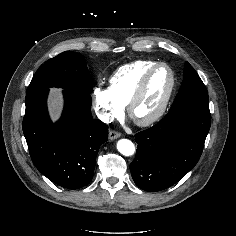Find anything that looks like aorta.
Returning <instances> with one entry per match:
<instances>
[{
    "label": "aorta",
    "mask_w": 236,
    "mask_h": 236,
    "mask_svg": "<svg viewBox=\"0 0 236 236\" xmlns=\"http://www.w3.org/2000/svg\"><path fill=\"white\" fill-rule=\"evenodd\" d=\"M117 149L124 156H132L135 152L134 144L128 139H120L117 142Z\"/></svg>",
    "instance_id": "762f6f07"
}]
</instances>
